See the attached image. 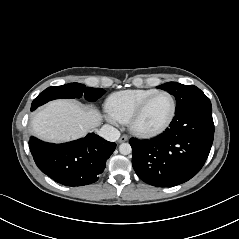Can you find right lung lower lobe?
<instances>
[{
  "mask_svg": "<svg viewBox=\"0 0 239 239\" xmlns=\"http://www.w3.org/2000/svg\"><path fill=\"white\" fill-rule=\"evenodd\" d=\"M29 147L38 168L54 181L66 186H83L99 179L116 143L91 133L64 144L31 137Z\"/></svg>",
  "mask_w": 239,
  "mask_h": 239,
  "instance_id": "98d812e1",
  "label": "right lung lower lobe"
}]
</instances>
